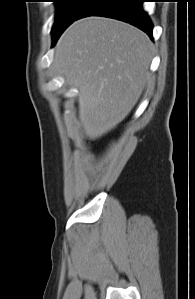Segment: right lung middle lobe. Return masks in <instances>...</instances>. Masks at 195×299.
Wrapping results in <instances>:
<instances>
[{"mask_svg":"<svg viewBox=\"0 0 195 299\" xmlns=\"http://www.w3.org/2000/svg\"><path fill=\"white\" fill-rule=\"evenodd\" d=\"M93 0H56L57 13L52 27L53 42L77 19Z\"/></svg>","mask_w":195,"mask_h":299,"instance_id":"1","label":"right lung middle lobe"}]
</instances>
